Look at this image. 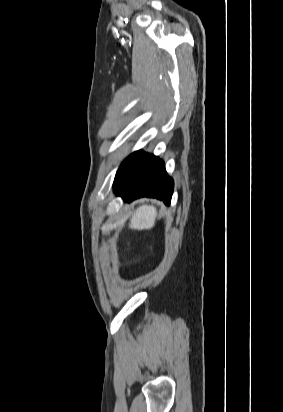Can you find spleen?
I'll use <instances>...</instances> for the list:
<instances>
[{
	"instance_id": "1",
	"label": "spleen",
	"mask_w": 283,
	"mask_h": 412,
	"mask_svg": "<svg viewBox=\"0 0 283 412\" xmlns=\"http://www.w3.org/2000/svg\"><path fill=\"white\" fill-rule=\"evenodd\" d=\"M156 217L157 210L154 206L143 205L132 215L129 227L135 230H149L155 225Z\"/></svg>"
}]
</instances>
